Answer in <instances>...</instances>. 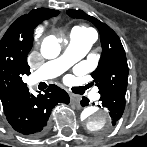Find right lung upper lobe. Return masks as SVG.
Segmentation results:
<instances>
[{
    "label": "right lung upper lobe",
    "mask_w": 147,
    "mask_h": 147,
    "mask_svg": "<svg viewBox=\"0 0 147 147\" xmlns=\"http://www.w3.org/2000/svg\"><path fill=\"white\" fill-rule=\"evenodd\" d=\"M59 11L39 8L19 17L0 41V99L4 112L25 101L31 94L22 81L30 74L27 55L32 48L30 31L43 20L57 16Z\"/></svg>",
    "instance_id": "1"
}]
</instances>
